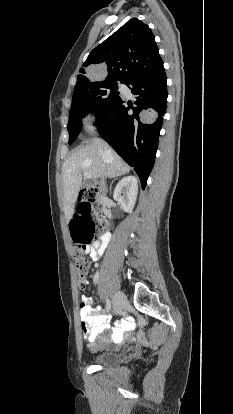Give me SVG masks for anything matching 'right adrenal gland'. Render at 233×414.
Segmentation results:
<instances>
[{"mask_svg":"<svg viewBox=\"0 0 233 414\" xmlns=\"http://www.w3.org/2000/svg\"><path fill=\"white\" fill-rule=\"evenodd\" d=\"M116 179H114L112 182H111V184H110V190H111V188H112V184H113V182L115 181Z\"/></svg>","mask_w":233,"mask_h":414,"instance_id":"obj_1","label":"right adrenal gland"}]
</instances>
